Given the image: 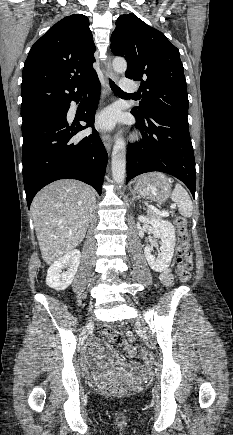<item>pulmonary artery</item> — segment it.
Masks as SVG:
<instances>
[{"label": "pulmonary artery", "mask_w": 233, "mask_h": 435, "mask_svg": "<svg viewBox=\"0 0 233 435\" xmlns=\"http://www.w3.org/2000/svg\"><path fill=\"white\" fill-rule=\"evenodd\" d=\"M121 89L125 94L128 95H132L137 91L136 86L133 85V79L131 78H122Z\"/></svg>", "instance_id": "obj_1"}]
</instances>
